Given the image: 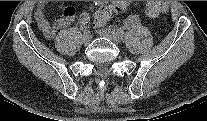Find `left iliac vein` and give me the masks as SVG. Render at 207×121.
I'll list each match as a JSON object with an SVG mask.
<instances>
[{"label":"left iliac vein","mask_w":207,"mask_h":121,"mask_svg":"<svg viewBox=\"0 0 207 121\" xmlns=\"http://www.w3.org/2000/svg\"><path fill=\"white\" fill-rule=\"evenodd\" d=\"M98 34L110 39L114 43H120L123 39V35L119 30L110 27L98 30Z\"/></svg>","instance_id":"obj_1"}]
</instances>
